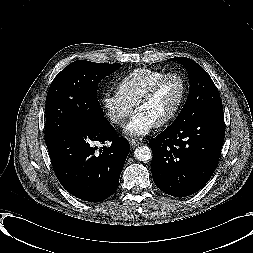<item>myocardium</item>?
<instances>
[{"label": "myocardium", "mask_w": 253, "mask_h": 253, "mask_svg": "<svg viewBox=\"0 0 253 253\" xmlns=\"http://www.w3.org/2000/svg\"><path fill=\"white\" fill-rule=\"evenodd\" d=\"M170 77H175L180 81L181 88H182L181 97H180V100H179L176 108L168 116H166L163 120H161L160 122L157 123V126H159V127L166 126V125L172 123L179 116V114L181 113V111L183 110V108L185 106V103H186L187 97H188V84H187V80L183 74L176 72V71H170V72L164 73L163 75L158 77L156 80H154L148 86V88L145 90V92L141 95V97L137 100V102L135 104V110H137V108L139 106L148 102L153 97V95L155 94V92L157 91L159 86L166 79H168Z\"/></svg>", "instance_id": "myocardium-1"}]
</instances>
